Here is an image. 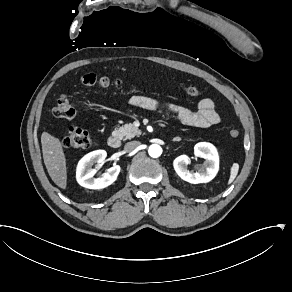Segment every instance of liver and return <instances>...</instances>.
Listing matches in <instances>:
<instances>
[{"mask_svg":"<svg viewBox=\"0 0 292 292\" xmlns=\"http://www.w3.org/2000/svg\"><path fill=\"white\" fill-rule=\"evenodd\" d=\"M43 159L48 173L55 184L65 189L67 185L66 160L59 139L47 132L41 135Z\"/></svg>","mask_w":292,"mask_h":292,"instance_id":"6515ba94","label":"liver"}]
</instances>
